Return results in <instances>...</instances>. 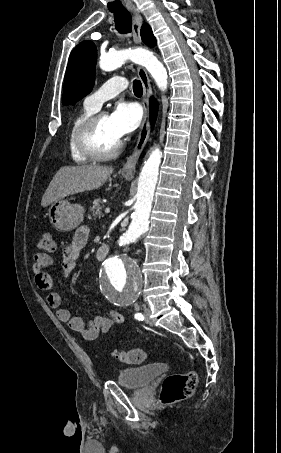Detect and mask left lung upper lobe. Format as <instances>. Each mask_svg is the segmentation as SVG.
Segmentation results:
<instances>
[{
	"mask_svg": "<svg viewBox=\"0 0 281 453\" xmlns=\"http://www.w3.org/2000/svg\"><path fill=\"white\" fill-rule=\"evenodd\" d=\"M97 49L92 41L79 43L71 52L67 65L63 105L75 104L85 97L95 82V64Z\"/></svg>",
	"mask_w": 281,
	"mask_h": 453,
	"instance_id": "5c2ea615",
	"label": "left lung upper lobe"
}]
</instances>
